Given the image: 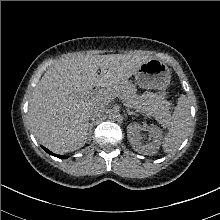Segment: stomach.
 I'll list each match as a JSON object with an SVG mask.
<instances>
[{
	"mask_svg": "<svg viewBox=\"0 0 220 220\" xmlns=\"http://www.w3.org/2000/svg\"><path fill=\"white\" fill-rule=\"evenodd\" d=\"M134 75L140 87L162 91L161 94L148 93L139 101L138 105L132 106L140 110L152 111L151 102L166 98L165 90L170 83V70L161 60L149 59L139 67Z\"/></svg>",
	"mask_w": 220,
	"mask_h": 220,
	"instance_id": "obj_1",
	"label": "stomach"
}]
</instances>
